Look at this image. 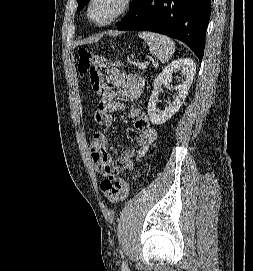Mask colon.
I'll use <instances>...</instances> for the list:
<instances>
[{
    "instance_id": "5ec220e1",
    "label": "colon",
    "mask_w": 253,
    "mask_h": 271,
    "mask_svg": "<svg viewBox=\"0 0 253 271\" xmlns=\"http://www.w3.org/2000/svg\"><path fill=\"white\" fill-rule=\"evenodd\" d=\"M78 70L83 75H88L91 87L98 93L101 89L98 70L110 67V64L100 55L92 53L85 48L79 49ZM129 183L119 177L107 178L100 184L101 192L113 202L123 200L128 193Z\"/></svg>"
}]
</instances>
